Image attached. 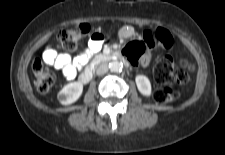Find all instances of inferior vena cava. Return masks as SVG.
Listing matches in <instances>:
<instances>
[{
  "label": "inferior vena cava",
  "instance_id": "obj_1",
  "mask_svg": "<svg viewBox=\"0 0 225 155\" xmlns=\"http://www.w3.org/2000/svg\"><path fill=\"white\" fill-rule=\"evenodd\" d=\"M107 71H108V65L103 63L97 67L96 74L102 75V74L106 73Z\"/></svg>",
  "mask_w": 225,
  "mask_h": 155
}]
</instances>
